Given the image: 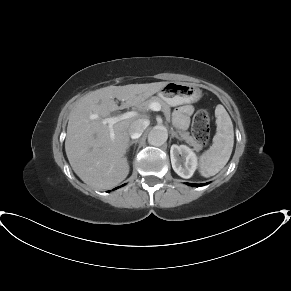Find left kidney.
I'll return each instance as SVG.
<instances>
[{"label":"left kidney","instance_id":"5707ae66","mask_svg":"<svg viewBox=\"0 0 291 291\" xmlns=\"http://www.w3.org/2000/svg\"><path fill=\"white\" fill-rule=\"evenodd\" d=\"M170 158L173 170L182 178L188 179L193 176L197 168V157L186 145H172Z\"/></svg>","mask_w":291,"mask_h":291}]
</instances>
